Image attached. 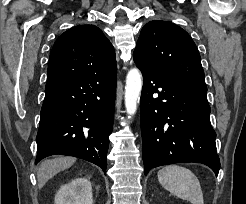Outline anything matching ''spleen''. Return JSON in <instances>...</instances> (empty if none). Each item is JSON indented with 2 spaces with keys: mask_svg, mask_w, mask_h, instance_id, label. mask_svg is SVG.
<instances>
[{
  "mask_svg": "<svg viewBox=\"0 0 246 204\" xmlns=\"http://www.w3.org/2000/svg\"><path fill=\"white\" fill-rule=\"evenodd\" d=\"M159 183L177 197L191 204H204L200 182L188 168L168 165L158 171Z\"/></svg>",
  "mask_w": 246,
  "mask_h": 204,
  "instance_id": "1",
  "label": "spleen"
}]
</instances>
